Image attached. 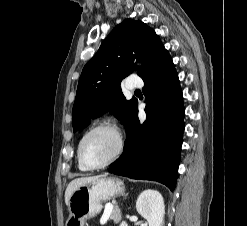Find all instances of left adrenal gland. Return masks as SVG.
<instances>
[{
  "instance_id": "a2214340",
  "label": "left adrenal gland",
  "mask_w": 247,
  "mask_h": 226,
  "mask_svg": "<svg viewBox=\"0 0 247 226\" xmlns=\"http://www.w3.org/2000/svg\"><path fill=\"white\" fill-rule=\"evenodd\" d=\"M128 196V193H126L125 195H124V197H127Z\"/></svg>"
}]
</instances>
